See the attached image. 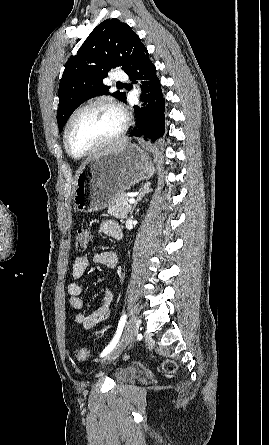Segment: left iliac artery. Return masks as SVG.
Returning a JSON list of instances; mask_svg holds the SVG:
<instances>
[{
    "mask_svg": "<svg viewBox=\"0 0 269 445\" xmlns=\"http://www.w3.org/2000/svg\"><path fill=\"white\" fill-rule=\"evenodd\" d=\"M125 322H126V315L123 314L119 320L118 328H117L114 338L112 339L110 344L103 350V352L101 353V357L106 356L108 353H110L115 348L116 344L119 341V338L121 336L123 328L125 326Z\"/></svg>",
    "mask_w": 269,
    "mask_h": 445,
    "instance_id": "44dca946",
    "label": "left iliac artery"
}]
</instances>
